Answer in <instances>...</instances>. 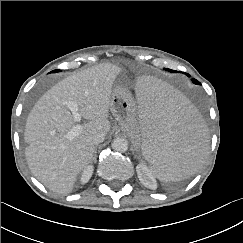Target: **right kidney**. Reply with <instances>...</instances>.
<instances>
[{
    "label": "right kidney",
    "instance_id": "right-kidney-1",
    "mask_svg": "<svg viewBox=\"0 0 243 243\" xmlns=\"http://www.w3.org/2000/svg\"><path fill=\"white\" fill-rule=\"evenodd\" d=\"M93 170H94L93 166H91V165L86 167L83 170V172L81 173V176H80V182L82 184H85V183H87L90 180V178H91V176L93 174Z\"/></svg>",
    "mask_w": 243,
    "mask_h": 243
}]
</instances>
